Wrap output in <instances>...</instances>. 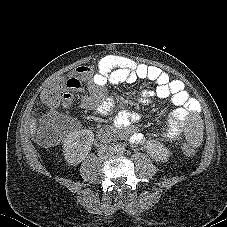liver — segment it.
I'll list each match as a JSON object with an SVG mask.
<instances>
[{"label":"liver","mask_w":227,"mask_h":227,"mask_svg":"<svg viewBox=\"0 0 227 227\" xmlns=\"http://www.w3.org/2000/svg\"><path fill=\"white\" fill-rule=\"evenodd\" d=\"M35 130H36V122L35 120H32L30 124V131L32 135L35 134Z\"/></svg>","instance_id":"obj_1"}]
</instances>
